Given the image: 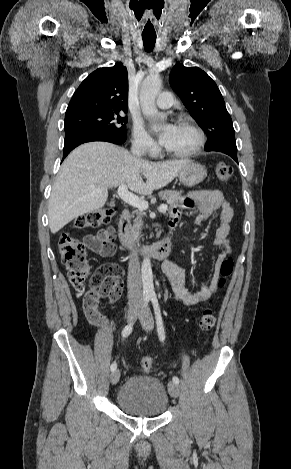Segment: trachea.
Returning <instances> with one entry per match:
<instances>
[{"instance_id": "1", "label": "trachea", "mask_w": 291, "mask_h": 469, "mask_svg": "<svg viewBox=\"0 0 291 469\" xmlns=\"http://www.w3.org/2000/svg\"><path fill=\"white\" fill-rule=\"evenodd\" d=\"M144 49L146 52H151L155 46L156 37H142Z\"/></svg>"}]
</instances>
